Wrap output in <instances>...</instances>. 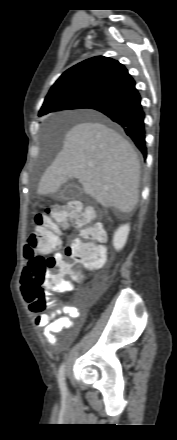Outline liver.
I'll return each mask as SVG.
<instances>
[{"label":"liver","instance_id":"1","mask_svg":"<svg viewBox=\"0 0 177 440\" xmlns=\"http://www.w3.org/2000/svg\"><path fill=\"white\" fill-rule=\"evenodd\" d=\"M76 178L86 194L104 207L131 212L139 199L140 161L132 145L99 122L73 126L62 150L43 174L38 194L57 192Z\"/></svg>","mask_w":177,"mask_h":440}]
</instances>
